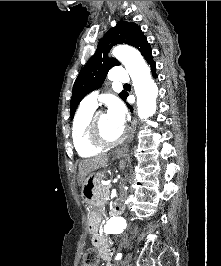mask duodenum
Segmentation results:
<instances>
[{
  "label": "duodenum",
  "instance_id": "410a0bca",
  "mask_svg": "<svg viewBox=\"0 0 221 266\" xmlns=\"http://www.w3.org/2000/svg\"><path fill=\"white\" fill-rule=\"evenodd\" d=\"M123 211V206L119 202H115L111 206V213L112 215H120Z\"/></svg>",
  "mask_w": 221,
  "mask_h": 266
}]
</instances>
